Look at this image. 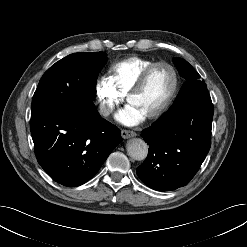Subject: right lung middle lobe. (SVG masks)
<instances>
[{
  "mask_svg": "<svg viewBox=\"0 0 247 247\" xmlns=\"http://www.w3.org/2000/svg\"><path fill=\"white\" fill-rule=\"evenodd\" d=\"M107 61L106 53H73L52 65L42 76L34 93L31 114L53 104L67 105L91 113L97 76Z\"/></svg>",
  "mask_w": 247,
  "mask_h": 247,
  "instance_id": "obj_1",
  "label": "right lung middle lobe"
}]
</instances>
